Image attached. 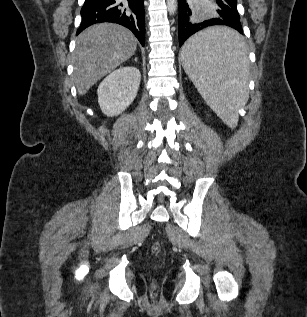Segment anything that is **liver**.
Listing matches in <instances>:
<instances>
[{
    "mask_svg": "<svg viewBox=\"0 0 307 317\" xmlns=\"http://www.w3.org/2000/svg\"><path fill=\"white\" fill-rule=\"evenodd\" d=\"M136 48V37L120 25L101 23L85 29L73 53V80L79 95L130 59Z\"/></svg>",
    "mask_w": 307,
    "mask_h": 317,
    "instance_id": "obj_1",
    "label": "liver"
}]
</instances>
